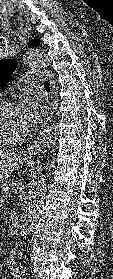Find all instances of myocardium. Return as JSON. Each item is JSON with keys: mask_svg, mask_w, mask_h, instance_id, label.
<instances>
[{"mask_svg": "<svg viewBox=\"0 0 113 279\" xmlns=\"http://www.w3.org/2000/svg\"><path fill=\"white\" fill-rule=\"evenodd\" d=\"M21 104L15 99H0V109L3 107H19ZM27 133L20 136H5L0 133V143H17L25 139Z\"/></svg>", "mask_w": 113, "mask_h": 279, "instance_id": "f54148a6", "label": "myocardium"}]
</instances>
